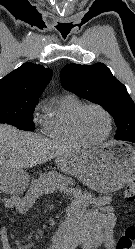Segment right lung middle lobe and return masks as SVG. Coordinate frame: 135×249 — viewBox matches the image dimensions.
Returning <instances> with one entry per match:
<instances>
[{
  "label": "right lung middle lobe",
  "mask_w": 135,
  "mask_h": 249,
  "mask_svg": "<svg viewBox=\"0 0 135 249\" xmlns=\"http://www.w3.org/2000/svg\"><path fill=\"white\" fill-rule=\"evenodd\" d=\"M38 99L0 95V123L15 125L20 130L34 131L32 114Z\"/></svg>",
  "instance_id": "1"
}]
</instances>
